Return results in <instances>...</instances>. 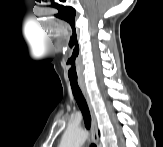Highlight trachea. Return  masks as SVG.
<instances>
[{
    "label": "trachea",
    "mask_w": 163,
    "mask_h": 147,
    "mask_svg": "<svg viewBox=\"0 0 163 147\" xmlns=\"http://www.w3.org/2000/svg\"><path fill=\"white\" fill-rule=\"evenodd\" d=\"M70 85H71L73 96L82 112L85 126L88 130H90L91 116H90L89 108H88L87 102L84 98V95L79 87L77 80H75V81L70 80ZM91 147H96V145L94 143H92Z\"/></svg>",
    "instance_id": "trachea-1"
}]
</instances>
